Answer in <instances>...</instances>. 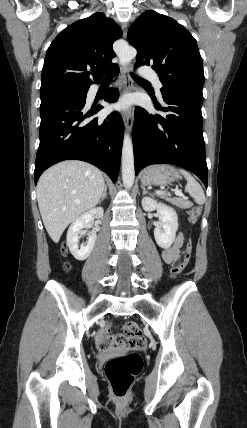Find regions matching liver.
Here are the masks:
<instances>
[{
    "label": "liver",
    "instance_id": "liver-1",
    "mask_svg": "<svg viewBox=\"0 0 247 428\" xmlns=\"http://www.w3.org/2000/svg\"><path fill=\"white\" fill-rule=\"evenodd\" d=\"M102 172L77 160L46 170L37 184V200L44 226L58 243L67 226L94 208L104 191Z\"/></svg>",
    "mask_w": 247,
    "mask_h": 428
}]
</instances>
